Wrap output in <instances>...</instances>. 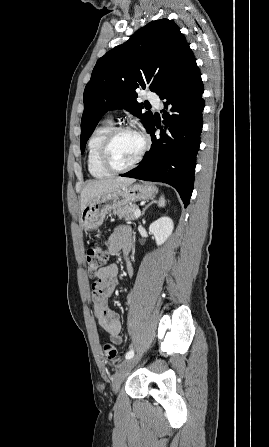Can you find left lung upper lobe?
<instances>
[{"label": "left lung upper lobe", "mask_w": 269, "mask_h": 447, "mask_svg": "<svg viewBox=\"0 0 269 447\" xmlns=\"http://www.w3.org/2000/svg\"><path fill=\"white\" fill-rule=\"evenodd\" d=\"M188 48L178 26L172 20L160 19L139 29L128 41L101 57L84 90L81 152L100 118L109 110L126 109L148 129L153 114L144 111L143 103L134 99L135 90L149 87L160 95Z\"/></svg>", "instance_id": "1"}]
</instances>
